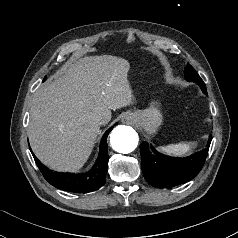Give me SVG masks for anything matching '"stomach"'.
<instances>
[{"mask_svg":"<svg viewBox=\"0 0 238 238\" xmlns=\"http://www.w3.org/2000/svg\"><path fill=\"white\" fill-rule=\"evenodd\" d=\"M128 113L134 116L135 123L149 135L155 134L163 122L162 113L156 102H152L150 107L145 110Z\"/></svg>","mask_w":238,"mask_h":238,"instance_id":"0dacf381","label":"stomach"}]
</instances>
